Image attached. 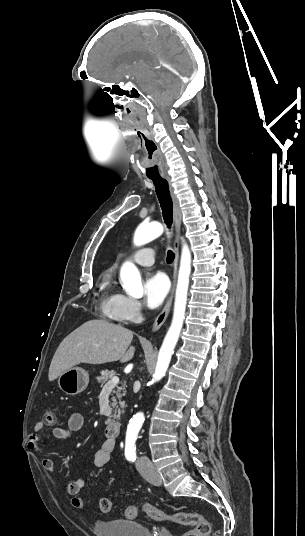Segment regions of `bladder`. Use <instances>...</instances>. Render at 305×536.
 Masks as SVG:
<instances>
[{
	"instance_id": "1",
	"label": "bladder",
	"mask_w": 305,
	"mask_h": 536,
	"mask_svg": "<svg viewBox=\"0 0 305 536\" xmlns=\"http://www.w3.org/2000/svg\"><path fill=\"white\" fill-rule=\"evenodd\" d=\"M96 536H152L150 531L139 521L125 518H113L108 521H95Z\"/></svg>"
}]
</instances>
